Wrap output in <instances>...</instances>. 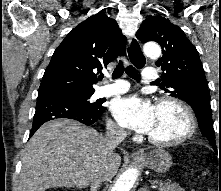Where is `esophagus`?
<instances>
[{"label": "esophagus", "mask_w": 221, "mask_h": 191, "mask_svg": "<svg viewBox=\"0 0 221 191\" xmlns=\"http://www.w3.org/2000/svg\"><path fill=\"white\" fill-rule=\"evenodd\" d=\"M127 56L129 60L139 69L143 67L146 62V58L142 52V47L137 38L134 36L128 41ZM141 155H143V152L140 150H136L132 153V157H139Z\"/></svg>", "instance_id": "1"}]
</instances>
